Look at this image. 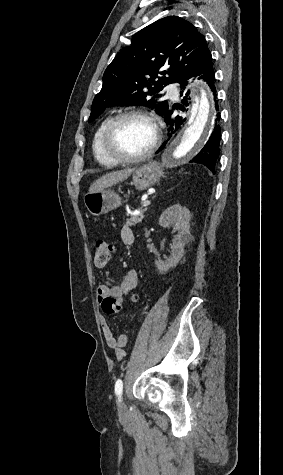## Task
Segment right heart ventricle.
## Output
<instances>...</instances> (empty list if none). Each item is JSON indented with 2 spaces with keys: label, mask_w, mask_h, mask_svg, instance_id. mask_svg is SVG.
Masks as SVG:
<instances>
[{
  "label": "right heart ventricle",
  "mask_w": 283,
  "mask_h": 475,
  "mask_svg": "<svg viewBox=\"0 0 283 475\" xmlns=\"http://www.w3.org/2000/svg\"><path fill=\"white\" fill-rule=\"evenodd\" d=\"M112 119H113L112 116H108L104 118L99 123V125L97 126V128L95 129L93 133L91 148H92L93 156L97 162H107L106 155L102 152V149H101V140H102L104 131L106 130L108 124L111 122Z\"/></svg>",
  "instance_id": "1"
}]
</instances>
